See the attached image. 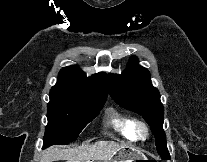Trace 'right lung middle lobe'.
Here are the masks:
<instances>
[{"label": "right lung middle lobe", "mask_w": 207, "mask_h": 162, "mask_svg": "<svg viewBox=\"0 0 207 162\" xmlns=\"http://www.w3.org/2000/svg\"><path fill=\"white\" fill-rule=\"evenodd\" d=\"M106 98H83L50 93L48 125L43 147L75 141L103 108Z\"/></svg>", "instance_id": "right-lung-middle-lobe-1"}]
</instances>
